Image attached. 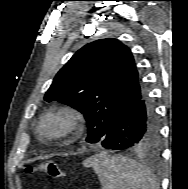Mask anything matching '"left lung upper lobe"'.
Returning a JSON list of instances; mask_svg holds the SVG:
<instances>
[{
  "mask_svg": "<svg viewBox=\"0 0 188 189\" xmlns=\"http://www.w3.org/2000/svg\"><path fill=\"white\" fill-rule=\"evenodd\" d=\"M143 93L130 49L108 38L78 50L57 73L44 99L82 112L88 125L86 141L98 143ZM156 142L136 149L151 148Z\"/></svg>",
  "mask_w": 188,
  "mask_h": 189,
  "instance_id": "5c2ea615",
  "label": "left lung upper lobe"
}]
</instances>
